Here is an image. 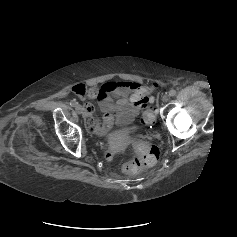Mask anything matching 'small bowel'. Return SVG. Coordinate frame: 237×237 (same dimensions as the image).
Instances as JSON below:
<instances>
[{"label": "small bowel", "mask_w": 237, "mask_h": 237, "mask_svg": "<svg viewBox=\"0 0 237 237\" xmlns=\"http://www.w3.org/2000/svg\"><path fill=\"white\" fill-rule=\"evenodd\" d=\"M71 90L82 99L98 100L103 113L100 122L95 118V108L92 104H86L84 107L86 127L97 135L106 134L114 125L130 123L145 108L148 101V89L132 81L107 82L91 87L76 84Z\"/></svg>", "instance_id": "obj_1"}]
</instances>
